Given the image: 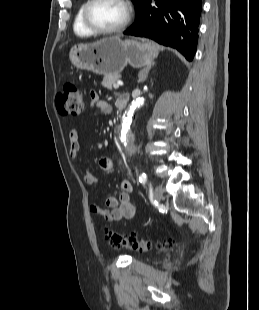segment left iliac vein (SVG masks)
Returning <instances> with one entry per match:
<instances>
[{
  "instance_id": "4c4485c4",
  "label": "left iliac vein",
  "mask_w": 259,
  "mask_h": 310,
  "mask_svg": "<svg viewBox=\"0 0 259 310\" xmlns=\"http://www.w3.org/2000/svg\"><path fill=\"white\" fill-rule=\"evenodd\" d=\"M163 198V188L160 185H156L154 189V199L160 203Z\"/></svg>"
}]
</instances>
